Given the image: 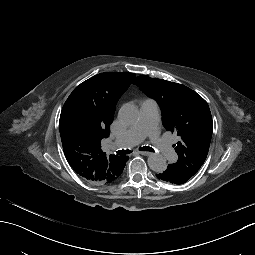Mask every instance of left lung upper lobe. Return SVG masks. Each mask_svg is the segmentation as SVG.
<instances>
[{
  "label": "left lung upper lobe",
  "instance_id": "left-lung-upper-lobe-1",
  "mask_svg": "<svg viewBox=\"0 0 255 255\" xmlns=\"http://www.w3.org/2000/svg\"><path fill=\"white\" fill-rule=\"evenodd\" d=\"M162 110V123L180 137L175 150L178 160L171 165L190 179L204 163L212 137V117L207 102L188 87L146 75L133 81Z\"/></svg>",
  "mask_w": 255,
  "mask_h": 255
}]
</instances>
